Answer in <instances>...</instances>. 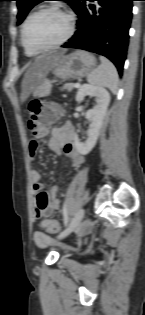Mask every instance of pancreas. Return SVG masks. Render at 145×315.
I'll list each match as a JSON object with an SVG mask.
<instances>
[{
  "label": "pancreas",
  "mask_w": 145,
  "mask_h": 315,
  "mask_svg": "<svg viewBox=\"0 0 145 315\" xmlns=\"http://www.w3.org/2000/svg\"><path fill=\"white\" fill-rule=\"evenodd\" d=\"M73 87H74L73 83H65L61 89L62 90L66 89L68 91H71L73 89Z\"/></svg>",
  "instance_id": "cf45deb5"
}]
</instances>
